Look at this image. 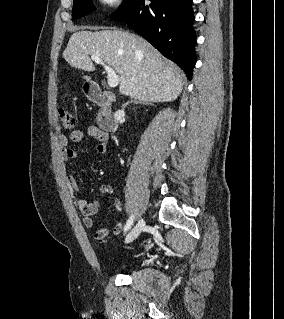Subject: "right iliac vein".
<instances>
[{"label": "right iliac vein", "instance_id": "obj_1", "mask_svg": "<svg viewBox=\"0 0 284 319\" xmlns=\"http://www.w3.org/2000/svg\"><path fill=\"white\" fill-rule=\"evenodd\" d=\"M145 226V221L140 219L137 224L131 229V231L125 237V243H130L135 240Z\"/></svg>", "mask_w": 284, "mask_h": 319}]
</instances>
